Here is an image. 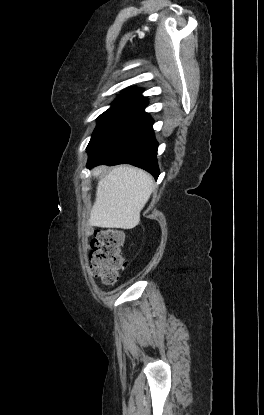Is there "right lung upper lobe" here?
Masks as SVG:
<instances>
[{
    "mask_svg": "<svg viewBox=\"0 0 264 415\" xmlns=\"http://www.w3.org/2000/svg\"><path fill=\"white\" fill-rule=\"evenodd\" d=\"M142 92L143 89L141 88H128L120 95V97L139 99L145 102L147 98L142 96Z\"/></svg>",
    "mask_w": 264,
    "mask_h": 415,
    "instance_id": "obj_1",
    "label": "right lung upper lobe"
}]
</instances>
